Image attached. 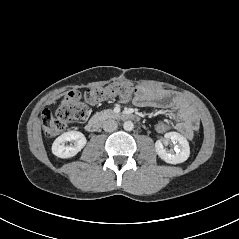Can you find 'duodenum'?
I'll return each instance as SVG.
<instances>
[{
  "label": "duodenum",
  "mask_w": 239,
  "mask_h": 239,
  "mask_svg": "<svg viewBox=\"0 0 239 239\" xmlns=\"http://www.w3.org/2000/svg\"><path fill=\"white\" fill-rule=\"evenodd\" d=\"M116 117L122 120H133V121H137L139 119V116L137 114L131 112H121L118 113ZM102 121L103 116L92 117L86 125V130L88 132H96L100 128Z\"/></svg>",
  "instance_id": "1"
}]
</instances>
